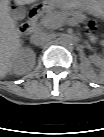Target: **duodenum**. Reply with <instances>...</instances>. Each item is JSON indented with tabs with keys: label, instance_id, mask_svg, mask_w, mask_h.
<instances>
[{
	"label": "duodenum",
	"instance_id": "1",
	"mask_svg": "<svg viewBox=\"0 0 104 137\" xmlns=\"http://www.w3.org/2000/svg\"><path fill=\"white\" fill-rule=\"evenodd\" d=\"M50 7L46 4H40L36 7H34L27 19L25 20L24 24H23V32L26 34V35H30L33 33V30H34V26H35V23L37 21V19L43 15L44 13H46L47 11H49Z\"/></svg>",
	"mask_w": 104,
	"mask_h": 137
}]
</instances>
